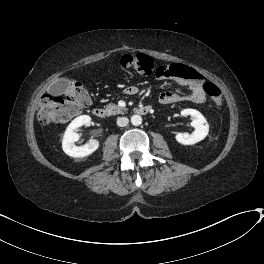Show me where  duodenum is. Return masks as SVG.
Wrapping results in <instances>:
<instances>
[{"label": "duodenum", "instance_id": "duodenum-1", "mask_svg": "<svg viewBox=\"0 0 264 264\" xmlns=\"http://www.w3.org/2000/svg\"><path fill=\"white\" fill-rule=\"evenodd\" d=\"M151 109L152 108L149 105H142L136 109V114L137 115H146L148 112L151 111ZM93 114L97 118H104L106 116V111L102 107H95L93 110Z\"/></svg>", "mask_w": 264, "mask_h": 264}]
</instances>
